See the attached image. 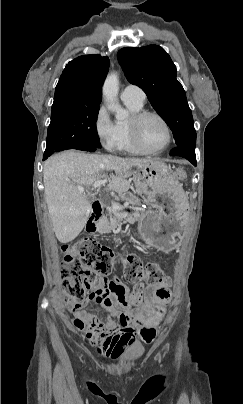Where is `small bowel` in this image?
Returning <instances> with one entry per match:
<instances>
[{
	"label": "small bowel",
	"instance_id": "c3829d8e",
	"mask_svg": "<svg viewBox=\"0 0 243 404\" xmlns=\"http://www.w3.org/2000/svg\"><path fill=\"white\" fill-rule=\"evenodd\" d=\"M170 280L159 284L137 288L145 296V302L137 309L120 312L116 306L123 303L126 288L119 282L101 279L97 287L83 301L72 305L75 318L71 325L86 334L87 339L96 346L99 354L117 358L139 337L151 343L156 336V328L165 315L171 293ZM90 302L104 305L113 316L101 319L88 313L85 308Z\"/></svg>",
	"mask_w": 243,
	"mask_h": 404
}]
</instances>
